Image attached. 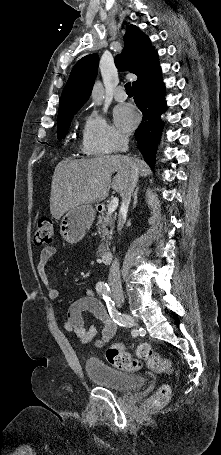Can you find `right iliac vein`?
<instances>
[{"label": "right iliac vein", "mask_w": 221, "mask_h": 455, "mask_svg": "<svg viewBox=\"0 0 221 455\" xmlns=\"http://www.w3.org/2000/svg\"><path fill=\"white\" fill-rule=\"evenodd\" d=\"M114 300H115L118 304H124V298H123L122 296L115 295V296H114Z\"/></svg>", "instance_id": "63e3f726"}]
</instances>
